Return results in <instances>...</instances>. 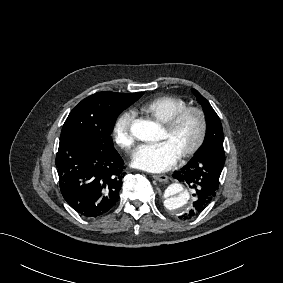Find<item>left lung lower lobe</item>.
<instances>
[{
	"label": "left lung lower lobe",
	"instance_id": "0a47b994",
	"mask_svg": "<svg viewBox=\"0 0 283 283\" xmlns=\"http://www.w3.org/2000/svg\"><path fill=\"white\" fill-rule=\"evenodd\" d=\"M225 162L223 144H207L173 177L194 190L193 208L180 218L191 219L201 213L215 197Z\"/></svg>",
	"mask_w": 283,
	"mask_h": 283
}]
</instances>
